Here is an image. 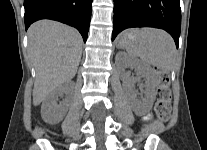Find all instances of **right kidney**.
<instances>
[{
    "label": "right kidney",
    "mask_w": 207,
    "mask_h": 150,
    "mask_svg": "<svg viewBox=\"0 0 207 150\" xmlns=\"http://www.w3.org/2000/svg\"><path fill=\"white\" fill-rule=\"evenodd\" d=\"M67 92V86H58L43 101L41 106V116L45 122L49 124H56L64 118L67 113L69 103L67 100H65L57 105L56 101L59 96H62Z\"/></svg>",
    "instance_id": "obj_1"
}]
</instances>
